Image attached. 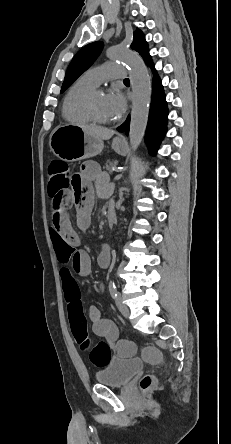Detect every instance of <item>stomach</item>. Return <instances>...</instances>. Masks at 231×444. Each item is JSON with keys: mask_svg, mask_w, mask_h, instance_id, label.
Listing matches in <instances>:
<instances>
[{"mask_svg": "<svg viewBox=\"0 0 231 444\" xmlns=\"http://www.w3.org/2000/svg\"><path fill=\"white\" fill-rule=\"evenodd\" d=\"M49 145L53 153L65 161L94 157L100 154L104 147L101 139L88 134L77 125L56 127L50 136ZM112 148L118 154H124L127 150L126 141L122 138H115Z\"/></svg>", "mask_w": 231, "mask_h": 444, "instance_id": "stomach-1", "label": "stomach"}]
</instances>
